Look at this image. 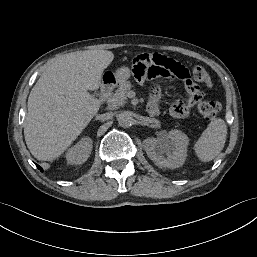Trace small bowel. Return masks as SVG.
<instances>
[{
  "mask_svg": "<svg viewBox=\"0 0 257 257\" xmlns=\"http://www.w3.org/2000/svg\"><path fill=\"white\" fill-rule=\"evenodd\" d=\"M128 71L132 74L133 81L138 85H144L160 76L170 80H183L181 89L187 94L186 99L184 101H173L170 105V113L175 118H187L200 98V93L195 84L196 71L167 55L140 53L128 62ZM149 106L154 109V112L148 109ZM147 111L151 115L158 114L159 93L155 90L150 92Z\"/></svg>",
  "mask_w": 257,
  "mask_h": 257,
  "instance_id": "c3829d8e",
  "label": "small bowel"
}]
</instances>
